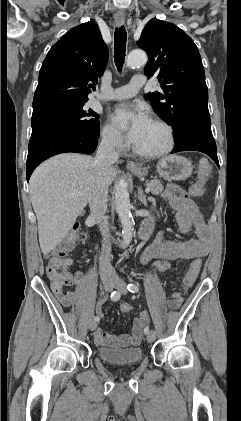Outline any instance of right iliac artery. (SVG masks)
I'll return each mask as SVG.
<instances>
[{
	"mask_svg": "<svg viewBox=\"0 0 241 421\" xmlns=\"http://www.w3.org/2000/svg\"><path fill=\"white\" fill-rule=\"evenodd\" d=\"M110 298H111V300H112V301H117V300H119V298H120V293H119V292H116V291H113V292L111 293V295H110ZM94 320H95L96 322H98V321L100 320L99 316H95V317H94Z\"/></svg>",
	"mask_w": 241,
	"mask_h": 421,
	"instance_id": "obj_1",
	"label": "right iliac artery"
}]
</instances>
